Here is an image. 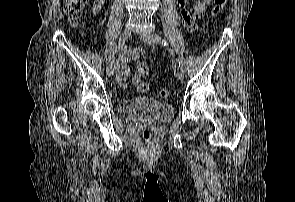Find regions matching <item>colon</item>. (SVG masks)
I'll list each match as a JSON object with an SVG mask.
<instances>
[{
    "label": "colon",
    "mask_w": 295,
    "mask_h": 202,
    "mask_svg": "<svg viewBox=\"0 0 295 202\" xmlns=\"http://www.w3.org/2000/svg\"><path fill=\"white\" fill-rule=\"evenodd\" d=\"M87 0H65L64 2V12L67 15L69 21L72 25H76L82 14ZM227 0H213L211 13L214 17H217L224 9ZM149 67L145 62H139L136 66L137 75H147ZM149 89V84L143 82L139 84L138 90L140 92H146ZM160 96L162 98H167L169 96V91L167 89H162L160 91ZM142 135L145 139H149L151 132L149 129H144Z\"/></svg>",
    "instance_id": "5ec220e1"
}]
</instances>
